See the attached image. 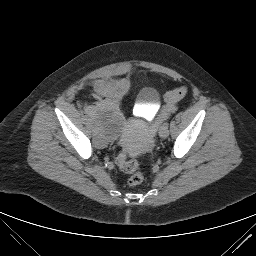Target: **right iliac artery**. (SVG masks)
<instances>
[{
	"instance_id": "82829eb1",
	"label": "right iliac artery",
	"mask_w": 256,
	"mask_h": 256,
	"mask_svg": "<svg viewBox=\"0 0 256 256\" xmlns=\"http://www.w3.org/2000/svg\"><path fill=\"white\" fill-rule=\"evenodd\" d=\"M85 111H86V114L89 116L90 114H93V111L89 108V107H86L85 108Z\"/></svg>"
}]
</instances>
